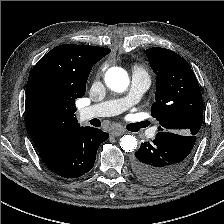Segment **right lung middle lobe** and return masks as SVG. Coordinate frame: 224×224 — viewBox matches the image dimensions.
Instances as JSON below:
<instances>
[{
    "label": "right lung middle lobe",
    "mask_w": 224,
    "mask_h": 224,
    "mask_svg": "<svg viewBox=\"0 0 224 224\" xmlns=\"http://www.w3.org/2000/svg\"><path fill=\"white\" fill-rule=\"evenodd\" d=\"M34 104L38 109L43 111L52 109L54 106L52 90L48 86L38 88L34 94Z\"/></svg>",
    "instance_id": "1"
}]
</instances>
